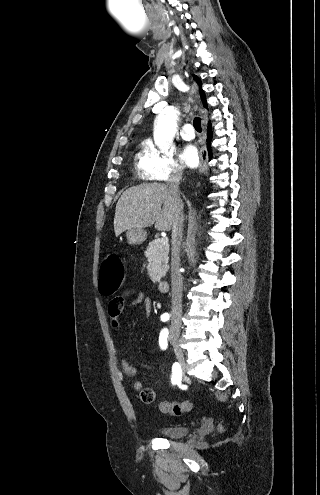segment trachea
I'll use <instances>...</instances> for the list:
<instances>
[{
  "instance_id": "1",
  "label": "trachea",
  "mask_w": 320,
  "mask_h": 495,
  "mask_svg": "<svg viewBox=\"0 0 320 495\" xmlns=\"http://www.w3.org/2000/svg\"><path fill=\"white\" fill-rule=\"evenodd\" d=\"M193 126H194V128L198 132H201L202 131V128H201V119L199 117H195L194 118V120H193Z\"/></svg>"
}]
</instances>
